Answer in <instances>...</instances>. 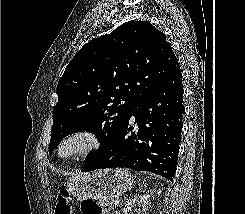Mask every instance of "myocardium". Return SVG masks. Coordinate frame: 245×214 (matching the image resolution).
<instances>
[{
    "label": "myocardium",
    "instance_id": "1",
    "mask_svg": "<svg viewBox=\"0 0 245 214\" xmlns=\"http://www.w3.org/2000/svg\"><path fill=\"white\" fill-rule=\"evenodd\" d=\"M101 144L99 135L88 129H79L70 132L61 139L56 154L64 160H73L94 152ZM73 147L67 151V148Z\"/></svg>",
    "mask_w": 245,
    "mask_h": 214
}]
</instances>
